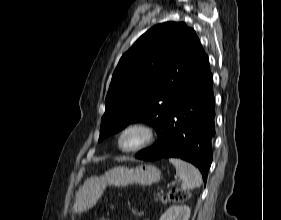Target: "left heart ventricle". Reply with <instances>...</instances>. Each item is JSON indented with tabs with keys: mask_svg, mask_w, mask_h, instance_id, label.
Masks as SVG:
<instances>
[{
	"mask_svg": "<svg viewBox=\"0 0 281 220\" xmlns=\"http://www.w3.org/2000/svg\"><path fill=\"white\" fill-rule=\"evenodd\" d=\"M142 139V134L138 131H131L128 132L122 139L121 141V145L124 148H130L135 146L136 144H138L140 142V140Z\"/></svg>",
	"mask_w": 281,
	"mask_h": 220,
	"instance_id": "obj_1",
	"label": "left heart ventricle"
}]
</instances>
